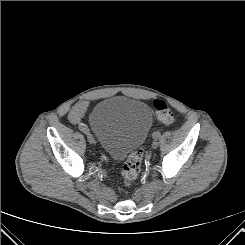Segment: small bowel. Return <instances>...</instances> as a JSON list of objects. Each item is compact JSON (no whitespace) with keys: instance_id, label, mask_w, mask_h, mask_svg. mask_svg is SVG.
I'll use <instances>...</instances> for the list:
<instances>
[{"instance_id":"1","label":"small bowel","mask_w":245,"mask_h":245,"mask_svg":"<svg viewBox=\"0 0 245 245\" xmlns=\"http://www.w3.org/2000/svg\"><path fill=\"white\" fill-rule=\"evenodd\" d=\"M88 103L84 100L78 101L70 110L68 120L73 125H81L87 111Z\"/></svg>"}]
</instances>
